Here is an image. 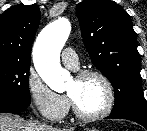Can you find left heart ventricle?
Segmentation results:
<instances>
[{"label":"left heart ventricle","instance_id":"1","mask_svg":"<svg viewBox=\"0 0 147 131\" xmlns=\"http://www.w3.org/2000/svg\"><path fill=\"white\" fill-rule=\"evenodd\" d=\"M67 93L72 96L78 108L86 114L100 111L107 100L105 86L97 77L81 80L73 78L67 87Z\"/></svg>","mask_w":147,"mask_h":131}]
</instances>
